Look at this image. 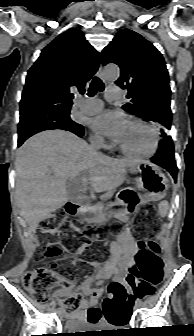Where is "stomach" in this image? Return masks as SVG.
<instances>
[{"label":"stomach","mask_w":194,"mask_h":336,"mask_svg":"<svg viewBox=\"0 0 194 336\" xmlns=\"http://www.w3.org/2000/svg\"><path fill=\"white\" fill-rule=\"evenodd\" d=\"M132 173L139 174L136 178V189H129L120 195L122 202L130 211H135L142 204L158 201L166 196L169 184L160 170L147 161H141L129 168ZM80 216L89 222L102 223L106 213H96L93 216L82 212Z\"/></svg>","instance_id":"0dacf381"}]
</instances>
